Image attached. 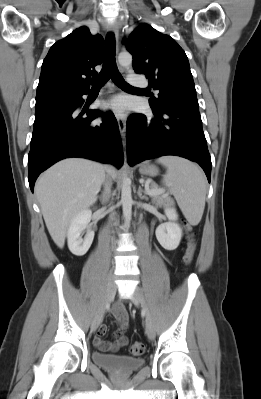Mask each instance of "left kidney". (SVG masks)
Instances as JSON below:
<instances>
[{"label":"left kidney","mask_w":261,"mask_h":399,"mask_svg":"<svg viewBox=\"0 0 261 399\" xmlns=\"http://www.w3.org/2000/svg\"><path fill=\"white\" fill-rule=\"evenodd\" d=\"M165 215L169 222L163 223L156 228L155 234L160 245L169 251L175 250L182 238V229L176 223L178 214L174 209H166Z\"/></svg>","instance_id":"1"}]
</instances>
